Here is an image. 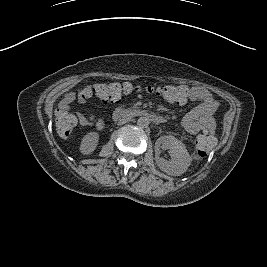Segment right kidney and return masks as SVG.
<instances>
[{
    "label": "right kidney",
    "instance_id": "1",
    "mask_svg": "<svg viewBox=\"0 0 267 267\" xmlns=\"http://www.w3.org/2000/svg\"><path fill=\"white\" fill-rule=\"evenodd\" d=\"M99 142V134L97 132L87 133L81 141L79 150L83 155L92 154Z\"/></svg>",
    "mask_w": 267,
    "mask_h": 267
}]
</instances>
